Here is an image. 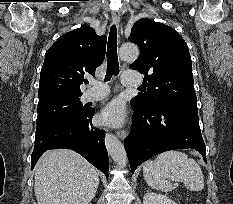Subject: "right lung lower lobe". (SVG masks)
<instances>
[{
	"mask_svg": "<svg viewBox=\"0 0 233 204\" xmlns=\"http://www.w3.org/2000/svg\"><path fill=\"white\" fill-rule=\"evenodd\" d=\"M94 112V109H89L72 121H63L36 133L31 169L45 151L67 148L82 155L108 176V153L103 142L105 131L92 125Z\"/></svg>",
	"mask_w": 233,
	"mask_h": 204,
	"instance_id": "1",
	"label": "right lung lower lobe"
}]
</instances>
